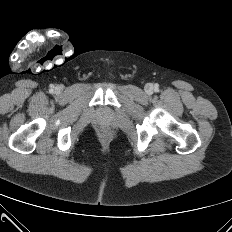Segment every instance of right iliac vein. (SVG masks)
<instances>
[{
	"label": "right iliac vein",
	"instance_id": "obj_1",
	"mask_svg": "<svg viewBox=\"0 0 232 232\" xmlns=\"http://www.w3.org/2000/svg\"><path fill=\"white\" fill-rule=\"evenodd\" d=\"M56 91L60 92L61 91V87H57Z\"/></svg>",
	"mask_w": 232,
	"mask_h": 232
}]
</instances>
